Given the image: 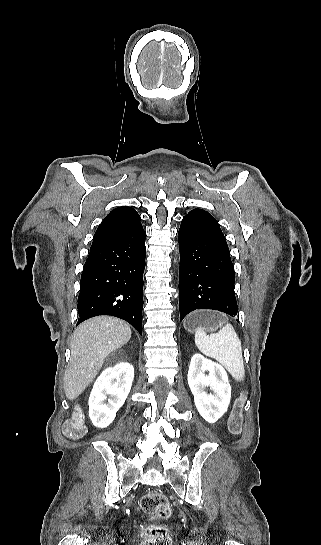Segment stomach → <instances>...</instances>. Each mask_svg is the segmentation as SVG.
I'll return each instance as SVG.
<instances>
[{"label": "stomach", "mask_w": 321, "mask_h": 545, "mask_svg": "<svg viewBox=\"0 0 321 545\" xmlns=\"http://www.w3.org/2000/svg\"><path fill=\"white\" fill-rule=\"evenodd\" d=\"M207 327L209 331H217L221 327V319L214 311H195L188 315L184 321V329L194 333L198 327Z\"/></svg>", "instance_id": "obj_1"}]
</instances>
